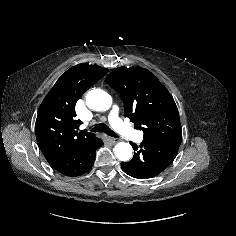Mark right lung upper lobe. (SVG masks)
<instances>
[{
    "instance_id": "1",
    "label": "right lung upper lobe",
    "mask_w": 236,
    "mask_h": 236,
    "mask_svg": "<svg viewBox=\"0 0 236 236\" xmlns=\"http://www.w3.org/2000/svg\"><path fill=\"white\" fill-rule=\"evenodd\" d=\"M107 71L87 63L73 66L44 98L38 109L35 133L37 144L47 161L73 152L96 138L86 131H77L81 121L75 119V105Z\"/></svg>"
}]
</instances>
